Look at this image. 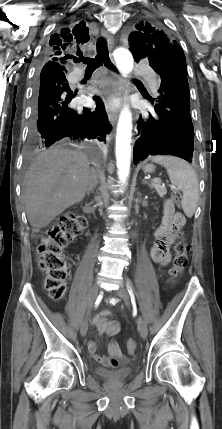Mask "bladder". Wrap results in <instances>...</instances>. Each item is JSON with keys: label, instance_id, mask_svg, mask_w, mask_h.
Instances as JSON below:
<instances>
[{"label": "bladder", "instance_id": "31cf9c89", "mask_svg": "<svg viewBox=\"0 0 222 429\" xmlns=\"http://www.w3.org/2000/svg\"><path fill=\"white\" fill-rule=\"evenodd\" d=\"M133 365L117 369H106L102 367L94 368V374L99 378L109 382H122L127 380L133 373Z\"/></svg>", "mask_w": 222, "mask_h": 429}]
</instances>
